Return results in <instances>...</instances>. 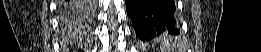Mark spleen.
Here are the masks:
<instances>
[{
  "instance_id": "3e777b00",
  "label": "spleen",
  "mask_w": 261,
  "mask_h": 52,
  "mask_svg": "<svg viewBox=\"0 0 261 52\" xmlns=\"http://www.w3.org/2000/svg\"><path fill=\"white\" fill-rule=\"evenodd\" d=\"M178 46L177 40L172 41V39L162 38L161 40V50L162 52H172L174 47Z\"/></svg>"
}]
</instances>
